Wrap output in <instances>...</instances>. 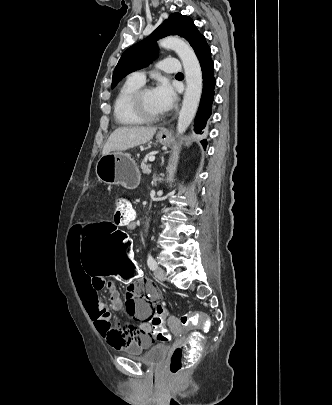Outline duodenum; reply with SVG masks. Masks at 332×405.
Listing matches in <instances>:
<instances>
[{
  "mask_svg": "<svg viewBox=\"0 0 332 405\" xmlns=\"http://www.w3.org/2000/svg\"><path fill=\"white\" fill-rule=\"evenodd\" d=\"M129 229L134 230L137 227V218L134 216L130 218L127 222Z\"/></svg>",
  "mask_w": 332,
  "mask_h": 405,
  "instance_id": "duodenum-1",
  "label": "duodenum"
}]
</instances>
